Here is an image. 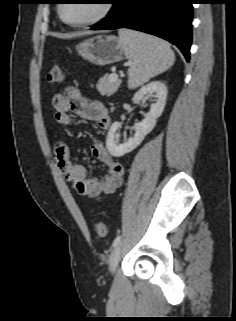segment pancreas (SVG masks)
<instances>
[{"mask_svg":"<svg viewBox=\"0 0 236 321\" xmlns=\"http://www.w3.org/2000/svg\"><path fill=\"white\" fill-rule=\"evenodd\" d=\"M110 76L111 75H105L98 81L97 89L103 95L110 96L114 94L121 84L120 79L116 78L114 80H110Z\"/></svg>","mask_w":236,"mask_h":321,"instance_id":"1","label":"pancreas"}]
</instances>
